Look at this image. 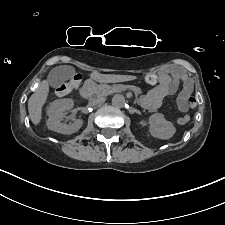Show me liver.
Returning <instances> with one entry per match:
<instances>
[{"label":"liver","instance_id":"obj_1","mask_svg":"<svg viewBox=\"0 0 225 225\" xmlns=\"http://www.w3.org/2000/svg\"><path fill=\"white\" fill-rule=\"evenodd\" d=\"M90 78L100 83H113L131 80L134 77L122 76V75H111V74H100L99 72H92ZM49 94L48 81L43 80L36 92L33 93L28 100V112L29 117L34 125H38L42 119V107L45 104Z\"/></svg>","mask_w":225,"mask_h":225}]
</instances>
